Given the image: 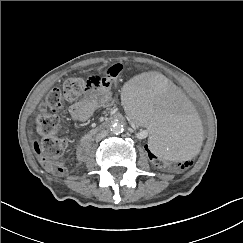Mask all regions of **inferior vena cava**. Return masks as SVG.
<instances>
[{"label": "inferior vena cava", "instance_id": "obj_1", "mask_svg": "<svg viewBox=\"0 0 243 243\" xmlns=\"http://www.w3.org/2000/svg\"><path fill=\"white\" fill-rule=\"evenodd\" d=\"M108 135V132L107 131H101L100 133H98L96 135V138L95 140L98 142V141H101L103 138H105L106 136Z\"/></svg>", "mask_w": 243, "mask_h": 243}]
</instances>
